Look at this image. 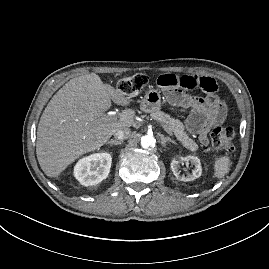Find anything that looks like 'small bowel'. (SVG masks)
I'll list each match as a JSON object with an SVG mask.
<instances>
[{"label": "small bowel", "instance_id": "small-bowel-1", "mask_svg": "<svg viewBox=\"0 0 269 269\" xmlns=\"http://www.w3.org/2000/svg\"><path fill=\"white\" fill-rule=\"evenodd\" d=\"M159 87L166 90L178 88H200L209 94L205 98L189 96L174 90L170 94V100L176 105H187L193 111L187 121V127L195 132L202 144L206 145L209 130L226 118V105L216 95L218 86L213 77L209 75H174L162 74L157 79Z\"/></svg>", "mask_w": 269, "mask_h": 269}]
</instances>
